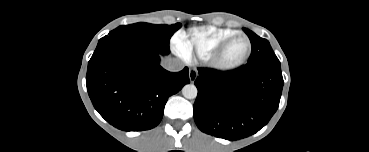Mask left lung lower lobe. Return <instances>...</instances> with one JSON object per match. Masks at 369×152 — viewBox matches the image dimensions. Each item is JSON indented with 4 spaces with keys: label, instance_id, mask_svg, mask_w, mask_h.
<instances>
[{
    "label": "left lung lower lobe",
    "instance_id": "left-lung-lower-lobe-1",
    "mask_svg": "<svg viewBox=\"0 0 369 152\" xmlns=\"http://www.w3.org/2000/svg\"><path fill=\"white\" fill-rule=\"evenodd\" d=\"M198 73L194 120L206 134L232 141L248 137L264 127L279 106L284 83L280 64Z\"/></svg>",
    "mask_w": 369,
    "mask_h": 152
}]
</instances>
